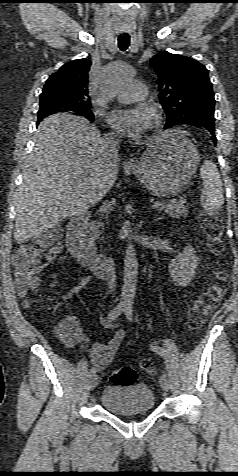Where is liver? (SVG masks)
Listing matches in <instances>:
<instances>
[{
  "instance_id": "liver-1",
  "label": "liver",
  "mask_w": 238,
  "mask_h": 476,
  "mask_svg": "<svg viewBox=\"0 0 238 476\" xmlns=\"http://www.w3.org/2000/svg\"><path fill=\"white\" fill-rule=\"evenodd\" d=\"M103 140L84 117L55 114L39 124L17 195L16 242L83 214L110 191L119 160L106 158Z\"/></svg>"
}]
</instances>
